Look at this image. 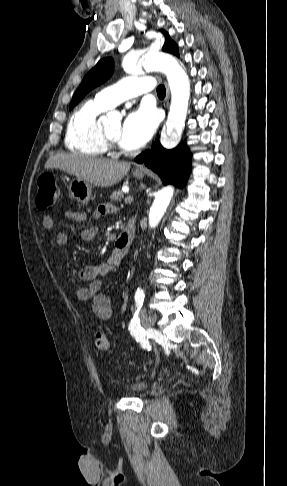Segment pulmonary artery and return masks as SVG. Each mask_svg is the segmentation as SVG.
<instances>
[{"label":"pulmonary artery","mask_w":287,"mask_h":486,"mask_svg":"<svg viewBox=\"0 0 287 486\" xmlns=\"http://www.w3.org/2000/svg\"><path fill=\"white\" fill-rule=\"evenodd\" d=\"M153 88L152 77H128L99 91L95 99L106 108H111L127 99L150 92Z\"/></svg>","instance_id":"obj_1"}]
</instances>
